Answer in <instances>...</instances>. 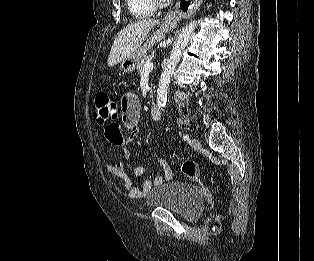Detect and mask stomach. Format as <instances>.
<instances>
[{
    "label": "stomach",
    "mask_w": 314,
    "mask_h": 261,
    "mask_svg": "<svg viewBox=\"0 0 314 261\" xmlns=\"http://www.w3.org/2000/svg\"><path fill=\"white\" fill-rule=\"evenodd\" d=\"M165 29L161 28L160 31L154 33L152 37L147 42V45L151 47L155 42H157L164 34ZM142 47H139L136 51H134L129 57L123 60L119 69L122 73H131L135 70L136 65L139 63L140 59L143 57L144 52L141 50Z\"/></svg>",
    "instance_id": "obj_1"
}]
</instances>
